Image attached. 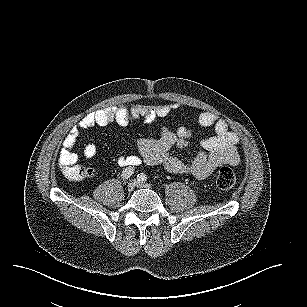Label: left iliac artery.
<instances>
[{
  "mask_svg": "<svg viewBox=\"0 0 307 307\" xmlns=\"http://www.w3.org/2000/svg\"><path fill=\"white\" fill-rule=\"evenodd\" d=\"M137 179L138 181H146L147 180V176L144 173H140L137 175Z\"/></svg>",
  "mask_w": 307,
  "mask_h": 307,
  "instance_id": "44dca946",
  "label": "left iliac artery"
}]
</instances>
